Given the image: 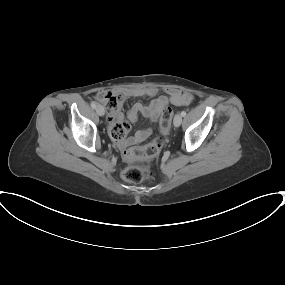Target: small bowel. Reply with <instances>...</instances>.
Wrapping results in <instances>:
<instances>
[{
    "instance_id": "c3829d8e",
    "label": "small bowel",
    "mask_w": 285,
    "mask_h": 285,
    "mask_svg": "<svg viewBox=\"0 0 285 285\" xmlns=\"http://www.w3.org/2000/svg\"><path fill=\"white\" fill-rule=\"evenodd\" d=\"M158 90L154 87H144L138 89H123L114 91L112 94L119 96L122 101L130 97L153 98L148 105L135 103L128 111L127 118L131 122H136L139 115H143L151 123H155L162 112L168 105H188L193 100V95L187 92H181L176 89H169L167 95L157 96ZM110 130L124 123V117L121 112L108 113ZM152 134V129H142L135 133L134 136L125 138L119 145L126 148L134 143L147 140Z\"/></svg>"
}]
</instances>
